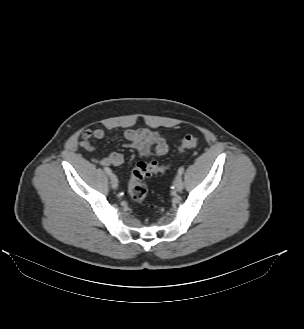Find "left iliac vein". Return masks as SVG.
<instances>
[{
  "mask_svg": "<svg viewBox=\"0 0 304 329\" xmlns=\"http://www.w3.org/2000/svg\"><path fill=\"white\" fill-rule=\"evenodd\" d=\"M183 187H184V183L182 177L181 175L178 174L174 180V188L176 191L180 192L182 191Z\"/></svg>",
  "mask_w": 304,
  "mask_h": 329,
  "instance_id": "obj_1",
  "label": "left iliac vein"
}]
</instances>
